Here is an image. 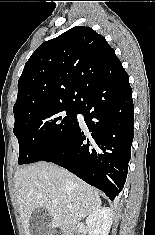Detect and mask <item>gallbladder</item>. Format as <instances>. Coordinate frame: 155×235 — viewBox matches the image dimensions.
Here are the masks:
<instances>
[{
	"instance_id": "obj_1",
	"label": "gallbladder",
	"mask_w": 155,
	"mask_h": 235,
	"mask_svg": "<svg viewBox=\"0 0 155 235\" xmlns=\"http://www.w3.org/2000/svg\"><path fill=\"white\" fill-rule=\"evenodd\" d=\"M29 229L31 235H52L51 215L44 208H37L33 211Z\"/></svg>"
}]
</instances>
